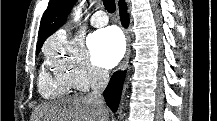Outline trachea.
Here are the masks:
<instances>
[{"label": "trachea", "instance_id": "3493384b", "mask_svg": "<svg viewBox=\"0 0 217 121\" xmlns=\"http://www.w3.org/2000/svg\"><path fill=\"white\" fill-rule=\"evenodd\" d=\"M103 4L105 9L109 13H114L116 9L115 1L114 0H103Z\"/></svg>", "mask_w": 217, "mask_h": 121}]
</instances>
